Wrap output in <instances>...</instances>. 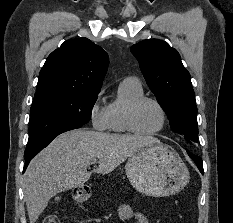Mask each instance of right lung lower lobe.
I'll use <instances>...</instances> for the list:
<instances>
[{"mask_svg":"<svg viewBox=\"0 0 233 223\" xmlns=\"http://www.w3.org/2000/svg\"><path fill=\"white\" fill-rule=\"evenodd\" d=\"M72 129H76V128H70V129H67V130H65V131H63V132H66V131H69V130H72ZM63 132H61V133H63ZM61 133H60V134H61ZM49 143H50V142H49ZM49 143H48V144H49ZM48 144H47V145H48ZM41 150H42V149H41ZM41 150H39L38 152H40ZM38 152L33 153V154L29 155V156H25V166H24L23 172L26 170V168H27V166H28L30 160H31Z\"/></svg>","mask_w":233,"mask_h":223,"instance_id":"obj_1","label":"right lung lower lobe"}]
</instances>
